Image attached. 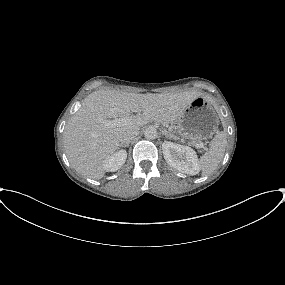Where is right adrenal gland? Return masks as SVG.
<instances>
[{"label":"right adrenal gland","mask_w":285,"mask_h":285,"mask_svg":"<svg viewBox=\"0 0 285 285\" xmlns=\"http://www.w3.org/2000/svg\"><path fill=\"white\" fill-rule=\"evenodd\" d=\"M120 147H129V144H120Z\"/></svg>","instance_id":"obj_1"}]
</instances>
